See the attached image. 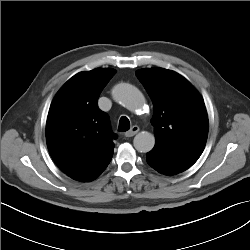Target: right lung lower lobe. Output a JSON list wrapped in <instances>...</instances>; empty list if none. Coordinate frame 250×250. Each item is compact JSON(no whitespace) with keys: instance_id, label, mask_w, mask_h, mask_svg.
Segmentation results:
<instances>
[{"instance_id":"right-lung-lower-lobe-1","label":"right lung lower lobe","mask_w":250,"mask_h":250,"mask_svg":"<svg viewBox=\"0 0 250 250\" xmlns=\"http://www.w3.org/2000/svg\"><path fill=\"white\" fill-rule=\"evenodd\" d=\"M112 155L107 157L105 160H103L100 164L89 170L87 173L81 175L80 177L76 178L75 180L81 181V182H89L94 179H96L108 166L112 159Z\"/></svg>"}]
</instances>
